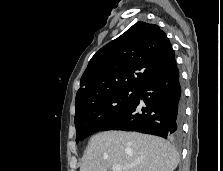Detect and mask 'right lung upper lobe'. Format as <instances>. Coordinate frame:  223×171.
<instances>
[{
    "label": "right lung upper lobe",
    "instance_id": "cb5924a9",
    "mask_svg": "<svg viewBox=\"0 0 223 171\" xmlns=\"http://www.w3.org/2000/svg\"><path fill=\"white\" fill-rule=\"evenodd\" d=\"M174 55L158 25L137 22L89 61L76 94V109L111 93L139 90L168 67Z\"/></svg>",
    "mask_w": 223,
    "mask_h": 171
}]
</instances>
